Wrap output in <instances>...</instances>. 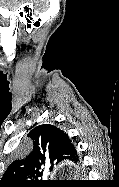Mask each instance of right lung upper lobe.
<instances>
[{"mask_svg":"<svg viewBox=\"0 0 119 187\" xmlns=\"http://www.w3.org/2000/svg\"><path fill=\"white\" fill-rule=\"evenodd\" d=\"M33 133L39 139V147L36 160L42 163V158L71 156L74 146L68 135L53 125H41L34 128ZM45 155V156H44ZM12 171L11 169L9 170Z\"/></svg>","mask_w":119,"mask_h":187,"instance_id":"cb5924a9","label":"right lung upper lobe"}]
</instances>
